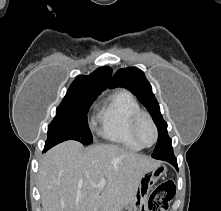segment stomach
<instances>
[{"mask_svg": "<svg viewBox=\"0 0 221 211\" xmlns=\"http://www.w3.org/2000/svg\"><path fill=\"white\" fill-rule=\"evenodd\" d=\"M166 173L167 169L161 163H158L154 168L145 170L138 180L128 211H147L146 202L148 195L155 183L165 176Z\"/></svg>", "mask_w": 221, "mask_h": 211, "instance_id": "0dacf381", "label": "stomach"}]
</instances>
